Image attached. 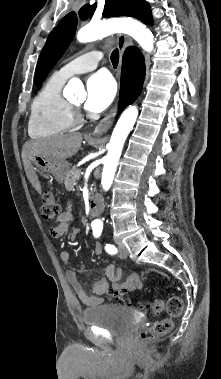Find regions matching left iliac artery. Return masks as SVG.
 <instances>
[{
	"instance_id": "obj_1",
	"label": "left iliac artery",
	"mask_w": 221,
	"mask_h": 379,
	"mask_svg": "<svg viewBox=\"0 0 221 379\" xmlns=\"http://www.w3.org/2000/svg\"><path fill=\"white\" fill-rule=\"evenodd\" d=\"M102 233V227H93V235L94 237L98 238ZM105 250L107 253L114 255L117 253V248L114 245L111 244H106L105 245Z\"/></svg>"
}]
</instances>
